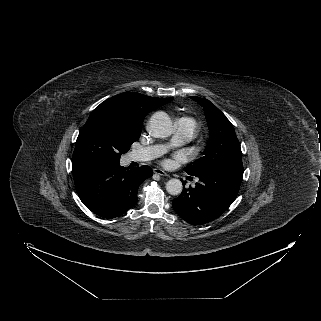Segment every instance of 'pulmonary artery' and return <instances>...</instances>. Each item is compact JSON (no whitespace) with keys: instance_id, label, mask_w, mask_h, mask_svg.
<instances>
[{"instance_id":"1","label":"pulmonary artery","mask_w":321,"mask_h":321,"mask_svg":"<svg viewBox=\"0 0 321 321\" xmlns=\"http://www.w3.org/2000/svg\"><path fill=\"white\" fill-rule=\"evenodd\" d=\"M195 122L190 118H180L176 122V133L172 140L173 144H180L191 140L195 133ZM166 147L161 145L148 146L136 150L130 154V159L133 161H148L160 156Z\"/></svg>"}]
</instances>
